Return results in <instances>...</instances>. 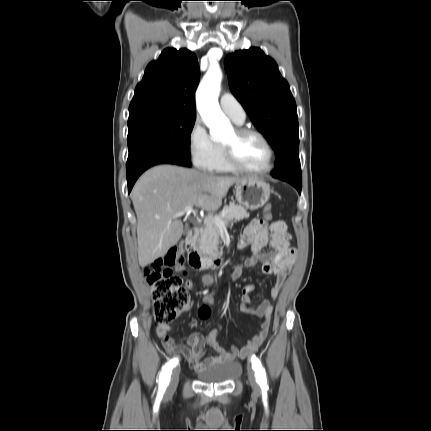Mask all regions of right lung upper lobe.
Returning a JSON list of instances; mask_svg holds the SVG:
<instances>
[{
  "instance_id": "right-lung-upper-lobe-1",
  "label": "right lung upper lobe",
  "mask_w": 431,
  "mask_h": 431,
  "mask_svg": "<svg viewBox=\"0 0 431 431\" xmlns=\"http://www.w3.org/2000/svg\"><path fill=\"white\" fill-rule=\"evenodd\" d=\"M196 55L187 50L165 49L148 64L129 106V118L148 113L196 116L195 90L199 82Z\"/></svg>"
}]
</instances>
